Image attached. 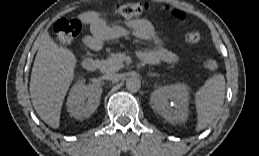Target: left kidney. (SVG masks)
Segmentation results:
<instances>
[{
    "instance_id": "1",
    "label": "left kidney",
    "mask_w": 259,
    "mask_h": 156,
    "mask_svg": "<svg viewBox=\"0 0 259 156\" xmlns=\"http://www.w3.org/2000/svg\"><path fill=\"white\" fill-rule=\"evenodd\" d=\"M152 107L171 123L188 118L189 87L182 83L160 87L151 94Z\"/></svg>"
}]
</instances>
